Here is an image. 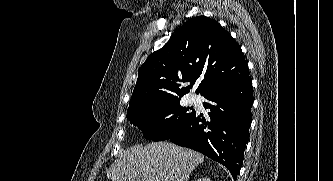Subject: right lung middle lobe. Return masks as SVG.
<instances>
[{
	"label": "right lung middle lobe",
	"instance_id": "1",
	"mask_svg": "<svg viewBox=\"0 0 333 181\" xmlns=\"http://www.w3.org/2000/svg\"><path fill=\"white\" fill-rule=\"evenodd\" d=\"M180 98L154 100L127 111V118L149 140L161 141L173 136L194 113L179 104Z\"/></svg>",
	"mask_w": 333,
	"mask_h": 181
}]
</instances>
